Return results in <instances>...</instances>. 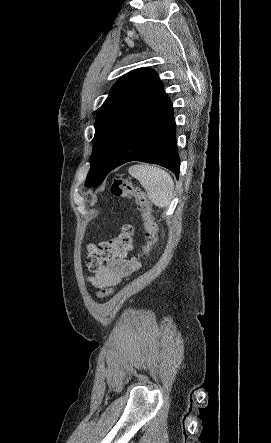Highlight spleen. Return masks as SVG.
<instances>
[{
  "mask_svg": "<svg viewBox=\"0 0 271 443\" xmlns=\"http://www.w3.org/2000/svg\"><path fill=\"white\" fill-rule=\"evenodd\" d=\"M130 176L137 178L141 186L145 188L149 200L158 208L169 206L174 192V182L165 170L148 164H137L129 168Z\"/></svg>",
  "mask_w": 271,
  "mask_h": 443,
  "instance_id": "obj_1",
  "label": "spleen"
}]
</instances>
